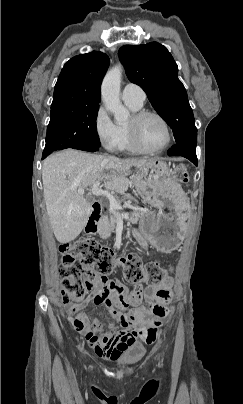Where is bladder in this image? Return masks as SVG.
Returning <instances> with one entry per match:
<instances>
[{"label": "bladder", "instance_id": "bladder-1", "mask_svg": "<svg viewBox=\"0 0 243 404\" xmlns=\"http://www.w3.org/2000/svg\"><path fill=\"white\" fill-rule=\"evenodd\" d=\"M146 348L142 343L129 345L118 358V363L124 366L133 365L139 362L145 355Z\"/></svg>", "mask_w": 243, "mask_h": 404}]
</instances>
